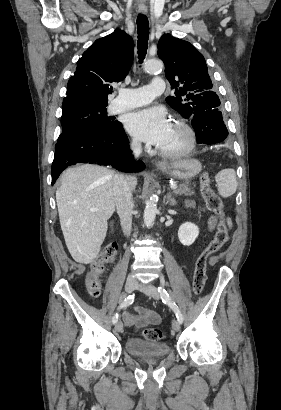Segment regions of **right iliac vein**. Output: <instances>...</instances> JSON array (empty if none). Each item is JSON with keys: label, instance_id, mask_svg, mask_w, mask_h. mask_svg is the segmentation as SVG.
<instances>
[{"label": "right iliac vein", "instance_id": "right-iliac-vein-1", "mask_svg": "<svg viewBox=\"0 0 281 410\" xmlns=\"http://www.w3.org/2000/svg\"><path fill=\"white\" fill-rule=\"evenodd\" d=\"M137 287V283L131 280H128L125 284V291L127 293H131L135 288ZM123 330V324L121 321H117L115 324V331L116 332H122Z\"/></svg>", "mask_w": 281, "mask_h": 410}]
</instances>
